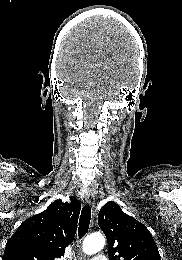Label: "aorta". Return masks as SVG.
I'll return each mask as SVG.
<instances>
[{
  "instance_id": "1",
  "label": "aorta",
  "mask_w": 182,
  "mask_h": 260,
  "mask_svg": "<svg viewBox=\"0 0 182 260\" xmlns=\"http://www.w3.org/2000/svg\"><path fill=\"white\" fill-rule=\"evenodd\" d=\"M105 245V237L100 233L87 236L82 245L83 252L88 255L99 252Z\"/></svg>"
}]
</instances>
